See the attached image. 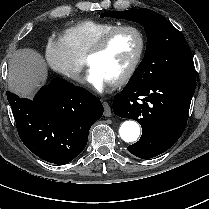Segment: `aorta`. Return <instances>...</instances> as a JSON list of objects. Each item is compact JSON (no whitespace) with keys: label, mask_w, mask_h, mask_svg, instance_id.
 <instances>
[{"label":"aorta","mask_w":209,"mask_h":209,"mask_svg":"<svg viewBox=\"0 0 209 209\" xmlns=\"http://www.w3.org/2000/svg\"><path fill=\"white\" fill-rule=\"evenodd\" d=\"M119 135L125 142H135L140 135V126L136 121L127 120L121 124Z\"/></svg>","instance_id":"762f6f07"}]
</instances>
